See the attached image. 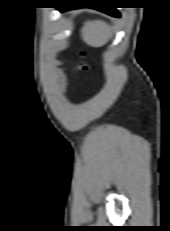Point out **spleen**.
Listing matches in <instances>:
<instances>
[{"instance_id":"obj_1","label":"spleen","mask_w":170,"mask_h":231,"mask_svg":"<svg viewBox=\"0 0 170 231\" xmlns=\"http://www.w3.org/2000/svg\"><path fill=\"white\" fill-rule=\"evenodd\" d=\"M83 40L92 47L105 45L112 37L110 26L99 20L87 21L81 30Z\"/></svg>"}]
</instances>
